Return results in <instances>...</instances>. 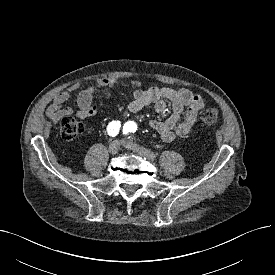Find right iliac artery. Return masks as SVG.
Here are the masks:
<instances>
[{
  "instance_id": "82829eb1",
  "label": "right iliac artery",
  "mask_w": 275,
  "mask_h": 275,
  "mask_svg": "<svg viewBox=\"0 0 275 275\" xmlns=\"http://www.w3.org/2000/svg\"><path fill=\"white\" fill-rule=\"evenodd\" d=\"M121 128L120 121H112L107 126V132L110 136L115 137Z\"/></svg>"
}]
</instances>
